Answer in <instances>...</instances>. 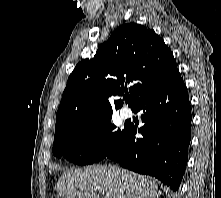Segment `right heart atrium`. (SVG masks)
<instances>
[{
	"label": "right heart atrium",
	"mask_w": 221,
	"mask_h": 198,
	"mask_svg": "<svg viewBox=\"0 0 221 198\" xmlns=\"http://www.w3.org/2000/svg\"><path fill=\"white\" fill-rule=\"evenodd\" d=\"M105 136V133L102 129L96 128L92 130L88 136V142L92 146H98Z\"/></svg>",
	"instance_id": "right-heart-atrium-1"
}]
</instances>
